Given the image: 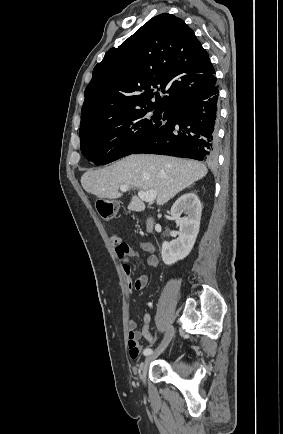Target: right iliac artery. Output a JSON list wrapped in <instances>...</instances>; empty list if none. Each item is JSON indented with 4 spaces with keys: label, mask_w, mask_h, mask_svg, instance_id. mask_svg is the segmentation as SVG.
<instances>
[{
    "label": "right iliac artery",
    "mask_w": 283,
    "mask_h": 434,
    "mask_svg": "<svg viewBox=\"0 0 283 434\" xmlns=\"http://www.w3.org/2000/svg\"><path fill=\"white\" fill-rule=\"evenodd\" d=\"M153 353V351H152V349H150V348H146V349H144V351H143V354L145 355V356H148V355H150V354H152Z\"/></svg>",
    "instance_id": "82829eb1"
}]
</instances>
